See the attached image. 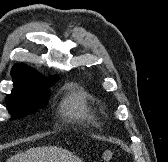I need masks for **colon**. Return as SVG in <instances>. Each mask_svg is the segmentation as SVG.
<instances>
[{
    "label": "colon",
    "mask_w": 168,
    "mask_h": 162,
    "mask_svg": "<svg viewBox=\"0 0 168 162\" xmlns=\"http://www.w3.org/2000/svg\"><path fill=\"white\" fill-rule=\"evenodd\" d=\"M102 159L104 162H112L114 159V153L110 150H107L102 154Z\"/></svg>",
    "instance_id": "obj_1"
}]
</instances>
